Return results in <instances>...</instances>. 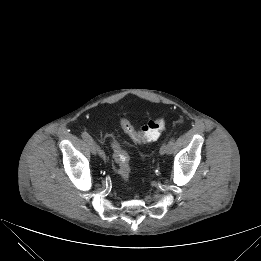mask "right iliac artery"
Returning a JSON list of instances; mask_svg holds the SVG:
<instances>
[{
  "mask_svg": "<svg viewBox=\"0 0 261 261\" xmlns=\"http://www.w3.org/2000/svg\"><path fill=\"white\" fill-rule=\"evenodd\" d=\"M81 136H82V138H83L85 141L91 142V143L95 146V148H96V150H97L99 156H100L104 161H108V160H109V157H108V155L105 153V151L102 150L98 145H96V143L93 141L92 137H91L87 132H82Z\"/></svg>",
  "mask_w": 261,
  "mask_h": 261,
  "instance_id": "right-iliac-artery-1",
  "label": "right iliac artery"
}]
</instances>
